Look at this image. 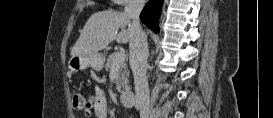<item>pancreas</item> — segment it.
Masks as SVG:
<instances>
[{
    "mask_svg": "<svg viewBox=\"0 0 273 118\" xmlns=\"http://www.w3.org/2000/svg\"><path fill=\"white\" fill-rule=\"evenodd\" d=\"M118 52L110 54L105 65L106 70H111L112 67L117 68L116 89L120 93L129 90V71L125 60L117 57Z\"/></svg>",
    "mask_w": 273,
    "mask_h": 118,
    "instance_id": "cf45deb5",
    "label": "pancreas"
}]
</instances>
